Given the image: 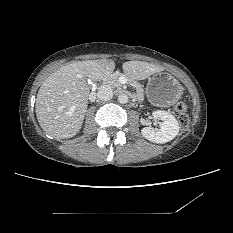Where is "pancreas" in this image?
Here are the masks:
<instances>
[{"instance_id":"obj_1","label":"pancreas","mask_w":233,"mask_h":233,"mask_svg":"<svg viewBox=\"0 0 233 233\" xmlns=\"http://www.w3.org/2000/svg\"><path fill=\"white\" fill-rule=\"evenodd\" d=\"M121 75H122L121 73L117 72V73H113V74L107 76V78L105 80L106 84H108L112 88H118V89H120L122 87L121 83L119 82V77ZM129 81L134 86V88L136 89L137 94L140 97H142V95H143V88H142V86L138 82H136V81H133V80H129Z\"/></svg>"}]
</instances>
